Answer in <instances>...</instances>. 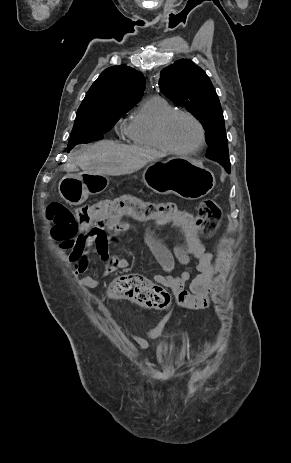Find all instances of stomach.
<instances>
[{
  "instance_id": "1",
  "label": "stomach",
  "mask_w": 291,
  "mask_h": 463,
  "mask_svg": "<svg viewBox=\"0 0 291 463\" xmlns=\"http://www.w3.org/2000/svg\"><path fill=\"white\" fill-rule=\"evenodd\" d=\"M149 185L157 192H172L181 198L196 200L207 195L215 186L214 174L195 160L174 156L163 163L154 162L146 173ZM107 187L102 176L84 173L62 178L58 185L61 197L69 204L83 203L89 193Z\"/></svg>"
}]
</instances>
